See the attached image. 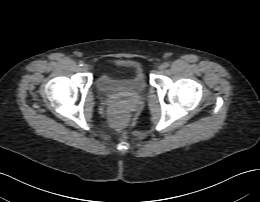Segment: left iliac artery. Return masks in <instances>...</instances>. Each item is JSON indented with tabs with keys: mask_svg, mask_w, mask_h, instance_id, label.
Segmentation results:
<instances>
[{
	"mask_svg": "<svg viewBox=\"0 0 260 202\" xmlns=\"http://www.w3.org/2000/svg\"><path fill=\"white\" fill-rule=\"evenodd\" d=\"M163 66H164L165 68H168V67H169V63H168V62H165V63L163 64Z\"/></svg>",
	"mask_w": 260,
	"mask_h": 202,
	"instance_id": "obj_1",
	"label": "left iliac artery"
}]
</instances>
